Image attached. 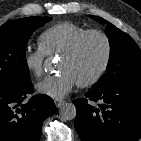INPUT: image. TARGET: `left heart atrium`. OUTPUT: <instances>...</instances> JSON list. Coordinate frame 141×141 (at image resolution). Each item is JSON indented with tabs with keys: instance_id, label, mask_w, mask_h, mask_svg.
Returning a JSON list of instances; mask_svg holds the SVG:
<instances>
[{
	"instance_id": "39dd6f15",
	"label": "left heart atrium",
	"mask_w": 141,
	"mask_h": 141,
	"mask_svg": "<svg viewBox=\"0 0 141 141\" xmlns=\"http://www.w3.org/2000/svg\"><path fill=\"white\" fill-rule=\"evenodd\" d=\"M77 84L76 79L68 71H60L49 75L36 84V90L54 99L67 96Z\"/></svg>"
}]
</instances>
